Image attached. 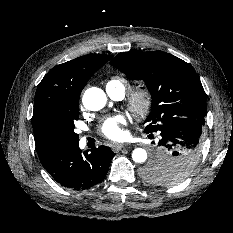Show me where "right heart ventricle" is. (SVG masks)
<instances>
[{"mask_svg":"<svg viewBox=\"0 0 233 233\" xmlns=\"http://www.w3.org/2000/svg\"><path fill=\"white\" fill-rule=\"evenodd\" d=\"M129 86V81L123 76H111L106 81V90L110 95L124 94Z\"/></svg>","mask_w":233,"mask_h":233,"instance_id":"1","label":"right heart ventricle"}]
</instances>
